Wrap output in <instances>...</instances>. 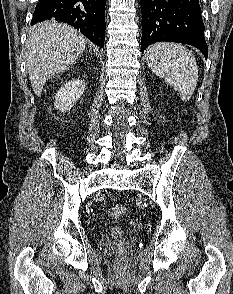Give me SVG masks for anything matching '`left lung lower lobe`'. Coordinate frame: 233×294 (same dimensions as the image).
I'll return each instance as SVG.
<instances>
[{"mask_svg":"<svg viewBox=\"0 0 233 294\" xmlns=\"http://www.w3.org/2000/svg\"><path fill=\"white\" fill-rule=\"evenodd\" d=\"M141 10L142 51L155 42H178L192 45L208 57L198 0H141Z\"/></svg>","mask_w":233,"mask_h":294,"instance_id":"obj_1","label":"left lung lower lobe"}]
</instances>
